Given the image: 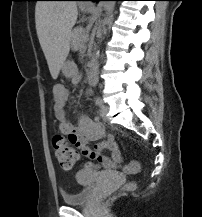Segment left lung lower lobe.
Segmentation results:
<instances>
[{
    "mask_svg": "<svg viewBox=\"0 0 202 217\" xmlns=\"http://www.w3.org/2000/svg\"><path fill=\"white\" fill-rule=\"evenodd\" d=\"M89 1H105V0H89ZM114 1H122V0H114Z\"/></svg>",
    "mask_w": 202,
    "mask_h": 217,
    "instance_id": "1",
    "label": "left lung lower lobe"
}]
</instances>
